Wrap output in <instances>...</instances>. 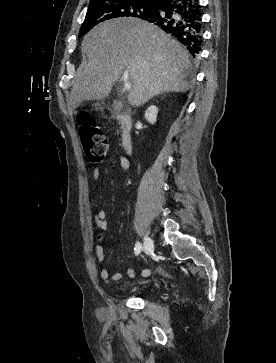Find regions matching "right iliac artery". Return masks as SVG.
<instances>
[{
  "instance_id": "82829eb1",
  "label": "right iliac artery",
  "mask_w": 276,
  "mask_h": 363,
  "mask_svg": "<svg viewBox=\"0 0 276 363\" xmlns=\"http://www.w3.org/2000/svg\"><path fill=\"white\" fill-rule=\"evenodd\" d=\"M141 249H142V245H141V243H140V242H137V243L135 244V248H134V250H135V255H138V254L141 252Z\"/></svg>"
}]
</instances>
